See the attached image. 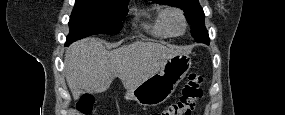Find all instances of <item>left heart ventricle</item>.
Listing matches in <instances>:
<instances>
[{"label": "left heart ventricle", "mask_w": 285, "mask_h": 115, "mask_svg": "<svg viewBox=\"0 0 285 115\" xmlns=\"http://www.w3.org/2000/svg\"><path fill=\"white\" fill-rule=\"evenodd\" d=\"M169 23L173 31L180 32L182 30V21L177 14L169 16Z\"/></svg>", "instance_id": "1"}]
</instances>
